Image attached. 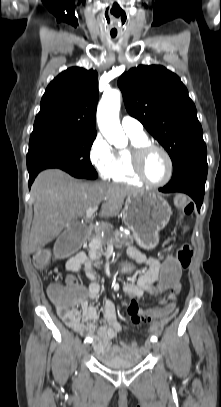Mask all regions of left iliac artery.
<instances>
[{"label":"left iliac artery","instance_id":"left-iliac-artery-1","mask_svg":"<svg viewBox=\"0 0 221 407\" xmlns=\"http://www.w3.org/2000/svg\"><path fill=\"white\" fill-rule=\"evenodd\" d=\"M151 341H152V342H157V337H155V336L152 337V338H151Z\"/></svg>","mask_w":221,"mask_h":407}]
</instances>
